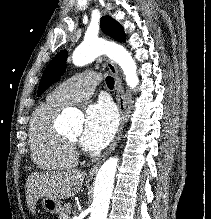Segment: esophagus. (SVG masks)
Wrapping results in <instances>:
<instances>
[{
  "label": "esophagus",
  "mask_w": 211,
  "mask_h": 219,
  "mask_svg": "<svg viewBox=\"0 0 211 219\" xmlns=\"http://www.w3.org/2000/svg\"><path fill=\"white\" fill-rule=\"evenodd\" d=\"M105 61H106L107 68L109 69L110 73L113 75L115 79L116 100H117V106H118L119 113H120V126L118 129L117 135L114 141L112 142V144L110 145V147L103 153L101 158L90 169L89 176H93L97 172L101 163L106 159V157H108L113 152L116 145L119 143L121 139L124 124H125L126 97H125L122 81L119 76V72H118V69L115 63L109 59H106Z\"/></svg>",
  "instance_id": "1"
}]
</instances>
